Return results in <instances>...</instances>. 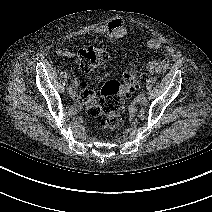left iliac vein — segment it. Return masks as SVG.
<instances>
[{"label": "left iliac vein", "instance_id": "left-iliac-vein-1", "mask_svg": "<svg viewBox=\"0 0 212 212\" xmlns=\"http://www.w3.org/2000/svg\"><path fill=\"white\" fill-rule=\"evenodd\" d=\"M136 100L139 104L143 105V96L142 95H139Z\"/></svg>", "mask_w": 212, "mask_h": 212}]
</instances>
